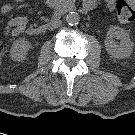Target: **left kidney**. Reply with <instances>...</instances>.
Masks as SVG:
<instances>
[{"mask_svg":"<svg viewBox=\"0 0 135 135\" xmlns=\"http://www.w3.org/2000/svg\"><path fill=\"white\" fill-rule=\"evenodd\" d=\"M120 40V44L113 38ZM106 51L115 59H125L131 56L134 43L131 41L129 33L119 26H110L104 41Z\"/></svg>","mask_w":135,"mask_h":135,"instance_id":"left-kidney-1","label":"left kidney"}]
</instances>
